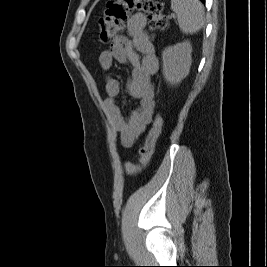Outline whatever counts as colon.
<instances>
[{
    "label": "colon",
    "mask_w": 267,
    "mask_h": 267,
    "mask_svg": "<svg viewBox=\"0 0 267 267\" xmlns=\"http://www.w3.org/2000/svg\"><path fill=\"white\" fill-rule=\"evenodd\" d=\"M135 10L144 13L152 30L167 28L168 19L163 14V5L156 0H109L105 13L100 19L99 41L107 43L113 39L124 28L129 16ZM161 130L162 117L157 114L146 140L139 150V162L137 164L131 162L124 164V169L128 174H138L147 167Z\"/></svg>",
    "instance_id": "1"
}]
</instances>
